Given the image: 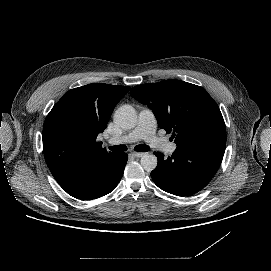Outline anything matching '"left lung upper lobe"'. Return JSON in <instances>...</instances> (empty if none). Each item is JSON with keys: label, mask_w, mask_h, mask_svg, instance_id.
I'll list each match as a JSON object with an SVG mask.
<instances>
[{"label": "left lung upper lobe", "mask_w": 271, "mask_h": 271, "mask_svg": "<svg viewBox=\"0 0 271 271\" xmlns=\"http://www.w3.org/2000/svg\"><path fill=\"white\" fill-rule=\"evenodd\" d=\"M131 96L148 105L177 147L209 146L225 149L226 128L217 103L200 86L165 80L132 88Z\"/></svg>", "instance_id": "obj_1"}]
</instances>
